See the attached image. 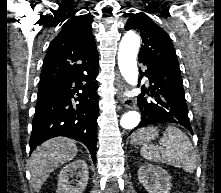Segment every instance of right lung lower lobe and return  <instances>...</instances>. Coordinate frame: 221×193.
I'll list each match as a JSON object with an SVG mask.
<instances>
[{
    "mask_svg": "<svg viewBox=\"0 0 221 193\" xmlns=\"http://www.w3.org/2000/svg\"><path fill=\"white\" fill-rule=\"evenodd\" d=\"M98 62L85 73L63 78L38 88L37 104L32 121L30 152L44 141L66 136L87 146L96 161L97 118L99 113L95 81ZM82 90V93H78ZM77 93L79 105H72Z\"/></svg>",
    "mask_w": 221,
    "mask_h": 193,
    "instance_id": "obj_1",
    "label": "right lung lower lobe"
}]
</instances>
